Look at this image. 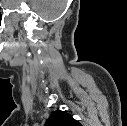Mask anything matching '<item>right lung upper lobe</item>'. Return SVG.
<instances>
[{"mask_svg":"<svg viewBox=\"0 0 127 126\" xmlns=\"http://www.w3.org/2000/svg\"><path fill=\"white\" fill-rule=\"evenodd\" d=\"M45 126H81V124L67 112L57 110L51 113Z\"/></svg>","mask_w":127,"mask_h":126,"instance_id":"cb5924a9","label":"right lung upper lobe"}]
</instances>
